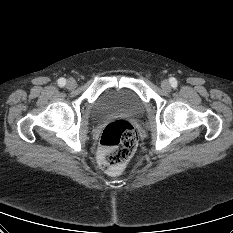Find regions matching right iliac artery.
Returning a JSON list of instances; mask_svg holds the SVG:
<instances>
[{"mask_svg": "<svg viewBox=\"0 0 233 233\" xmlns=\"http://www.w3.org/2000/svg\"><path fill=\"white\" fill-rule=\"evenodd\" d=\"M65 84H66V79H65V78H60V79H58V85H59L60 87H64Z\"/></svg>", "mask_w": 233, "mask_h": 233, "instance_id": "1", "label": "right iliac artery"}]
</instances>
